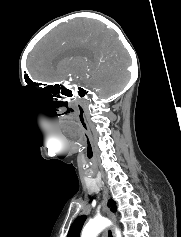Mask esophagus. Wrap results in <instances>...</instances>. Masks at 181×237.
I'll return each instance as SVG.
<instances>
[{
	"mask_svg": "<svg viewBox=\"0 0 181 237\" xmlns=\"http://www.w3.org/2000/svg\"><path fill=\"white\" fill-rule=\"evenodd\" d=\"M103 199H104V204H105V210L109 218H111L113 221L115 220L114 214L110 211V209L107 207V201H108V190L105 186H103ZM107 236L108 237H114V231L112 228H110L107 231Z\"/></svg>",
	"mask_w": 181,
	"mask_h": 237,
	"instance_id": "obj_1",
	"label": "esophagus"
}]
</instances>
